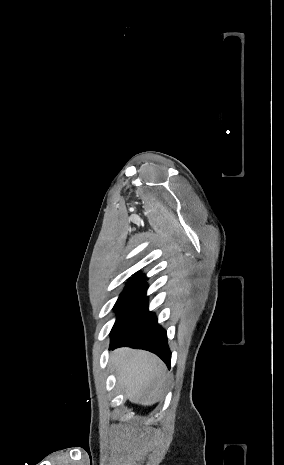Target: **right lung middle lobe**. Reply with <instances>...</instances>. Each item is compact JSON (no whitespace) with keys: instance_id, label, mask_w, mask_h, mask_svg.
<instances>
[{"instance_id":"1","label":"right lung middle lobe","mask_w":284,"mask_h":465,"mask_svg":"<svg viewBox=\"0 0 284 465\" xmlns=\"http://www.w3.org/2000/svg\"><path fill=\"white\" fill-rule=\"evenodd\" d=\"M147 284L145 280L131 279L124 291L118 298L114 310L117 312L116 323L130 311L145 297Z\"/></svg>"}]
</instances>
